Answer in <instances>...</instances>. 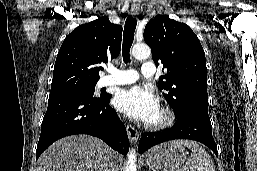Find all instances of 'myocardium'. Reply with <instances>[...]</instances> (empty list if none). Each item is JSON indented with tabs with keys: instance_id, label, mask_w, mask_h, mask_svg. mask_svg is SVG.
Returning <instances> with one entry per match:
<instances>
[{
	"instance_id": "1",
	"label": "myocardium",
	"mask_w": 257,
	"mask_h": 171,
	"mask_svg": "<svg viewBox=\"0 0 257 171\" xmlns=\"http://www.w3.org/2000/svg\"><path fill=\"white\" fill-rule=\"evenodd\" d=\"M160 118L157 121L146 122L145 126L151 130H163L169 128L175 122V114L171 108L165 105L159 106Z\"/></svg>"
}]
</instances>
